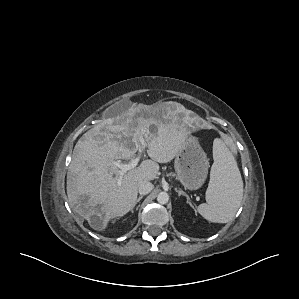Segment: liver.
Returning <instances> with one entry per match:
<instances>
[{"instance_id":"1","label":"liver","mask_w":299,"mask_h":299,"mask_svg":"<svg viewBox=\"0 0 299 299\" xmlns=\"http://www.w3.org/2000/svg\"><path fill=\"white\" fill-rule=\"evenodd\" d=\"M169 107L151 108L131 105L114 117L88 130L76 143L67 172V195L73 211L95 230H104L108 222L122 217L135 206L138 182L152 181L159 174L158 163H168L183 147L186 136L173 123ZM147 143L151 159L126 172L117 184L118 159L131 158ZM115 175V176H114Z\"/></svg>"}]
</instances>
